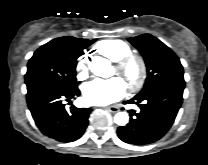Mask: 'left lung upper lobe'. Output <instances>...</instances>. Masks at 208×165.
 <instances>
[{
	"label": "left lung upper lobe",
	"mask_w": 208,
	"mask_h": 165,
	"mask_svg": "<svg viewBox=\"0 0 208 165\" xmlns=\"http://www.w3.org/2000/svg\"><path fill=\"white\" fill-rule=\"evenodd\" d=\"M129 42L140 51L147 67L146 82L139 94H143L163 82L184 81L183 66L179 58L156 37L143 34L129 38Z\"/></svg>",
	"instance_id": "obj_1"
}]
</instances>
